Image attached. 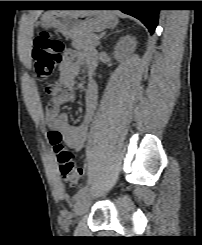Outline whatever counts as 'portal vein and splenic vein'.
Returning <instances> with one entry per match:
<instances>
[{
    "instance_id": "18ae733b",
    "label": "portal vein and splenic vein",
    "mask_w": 202,
    "mask_h": 245,
    "mask_svg": "<svg viewBox=\"0 0 202 245\" xmlns=\"http://www.w3.org/2000/svg\"><path fill=\"white\" fill-rule=\"evenodd\" d=\"M96 42L100 44V39L97 37Z\"/></svg>"
}]
</instances>
